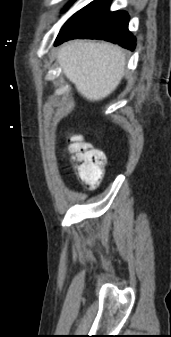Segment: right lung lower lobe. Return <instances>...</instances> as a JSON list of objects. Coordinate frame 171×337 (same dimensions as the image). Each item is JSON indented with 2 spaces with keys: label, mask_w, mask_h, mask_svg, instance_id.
Returning <instances> with one entry per match:
<instances>
[{
  "label": "right lung lower lobe",
  "mask_w": 171,
  "mask_h": 337,
  "mask_svg": "<svg viewBox=\"0 0 171 337\" xmlns=\"http://www.w3.org/2000/svg\"><path fill=\"white\" fill-rule=\"evenodd\" d=\"M111 0H96L75 13L60 30L55 45L74 38L103 39L134 50L136 40L128 30L125 11L110 12Z\"/></svg>",
  "instance_id": "obj_1"
}]
</instances>
